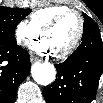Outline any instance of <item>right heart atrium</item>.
<instances>
[{
  "instance_id": "d8ad5b80",
  "label": "right heart atrium",
  "mask_w": 103,
  "mask_h": 103,
  "mask_svg": "<svg viewBox=\"0 0 103 103\" xmlns=\"http://www.w3.org/2000/svg\"><path fill=\"white\" fill-rule=\"evenodd\" d=\"M39 32L30 22L22 20L16 24L14 36L17 44L24 47L34 40Z\"/></svg>"
}]
</instances>
